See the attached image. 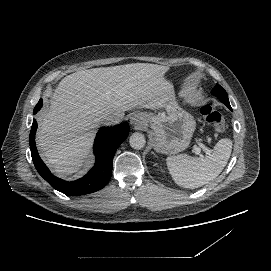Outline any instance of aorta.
<instances>
[{
    "label": "aorta",
    "instance_id": "obj_1",
    "mask_svg": "<svg viewBox=\"0 0 271 271\" xmlns=\"http://www.w3.org/2000/svg\"><path fill=\"white\" fill-rule=\"evenodd\" d=\"M130 146L133 149L141 150L144 148L146 144V140L143 134L141 133H134L129 140Z\"/></svg>",
    "mask_w": 271,
    "mask_h": 271
}]
</instances>
